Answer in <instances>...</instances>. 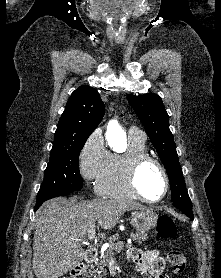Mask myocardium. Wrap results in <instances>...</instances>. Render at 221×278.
Instances as JSON below:
<instances>
[{"label":"myocardium","instance_id":"f54148a6","mask_svg":"<svg viewBox=\"0 0 221 278\" xmlns=\"http://www.w3.org/2000/svg\"><path fill=\"white\" fill-rule=\"evenodd\" d=\"M148 163H152V164L156 165L158 167V169L160 170V172L162 173L163 178H164V183H165L164 192L158 199H149L148 197H146L142 193V191L138 185L139 173H140L141 169L143 168V166H145ZM125 174H126V181H127L128 187H129L130 191L132 192V194L136 198H138L144 202L158 203V202L162 201L168 194L170 182H169V176H168L167 170L164 167V165L157 158H155L149 154H138V155L128 158L126 161Z\"/></svg>","mask_w":221,"mask_h":278}]
</instances>
